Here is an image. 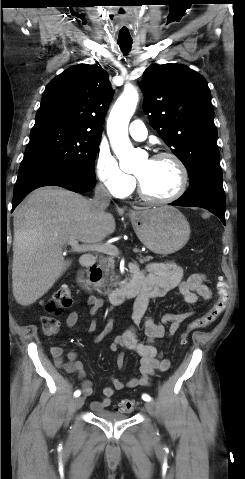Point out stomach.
I'll return each mask as SVG.
<instances>
[{
	"label": "stomach",
	"instance_id": "1",
	"mask_svg": "<svg viewBox=\"0 0 245 479\" xmlns=\"http://www.w3.org/2000/svg\"><path fill=\"white\" fill-rule=\"evenodd\" d=\"M131 223L140 241L152 252L171 254L189 240L190 225L185 216L170 206L135 210Z\"/></svg>",
	"mask_w": 245,
	"mask_h": 479
}]
</instances>
